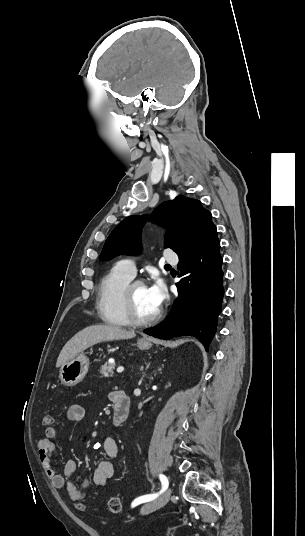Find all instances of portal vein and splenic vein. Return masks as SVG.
<instances>
[{"mask_svg": "<svg viewBox=\"0 0 305 536\" xmlns=\"http://www.w3.org/2000/svg\"><path fill=\"white\" fill-rule=\"evenodd\" d=\"M110 364H113L114 360H109ZM124 368L123 366H119V368H117V372L118 374H121V372H123Z\"/></svg>", "mask_w": 305, "mask_h": 536, "instance_id": "obj_1", "label": "portal vein and splenic vein"}]
</instances>
